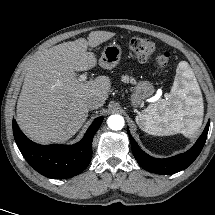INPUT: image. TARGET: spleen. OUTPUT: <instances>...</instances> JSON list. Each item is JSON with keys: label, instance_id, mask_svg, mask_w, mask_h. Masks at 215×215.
I'll return each mask as SVG.
<instances>
[{"label": "spleen", "instance_id": "spleen-1", "mask_svg": "<svg viewBox=\"0 0 215 215\" xmlns=\"http://www.w3.org/2000/svg\"><path fill=\"white\" fill-rule=\"evenodd\" d=\"M203 108V99L194 72L187 62L181 61L168 97L149 105L136 116V122L151 135L182 133L191 138L202 125Z\"/></svg>", "mask_w": 215, "mask_h": 215}]
</instances>
